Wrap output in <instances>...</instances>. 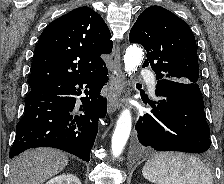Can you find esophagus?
<instances>
[{"label":"esophagus","mask_w":224,"mask_h":184,"mask_svg":"<svg viewBox=\"0 0 224 184\" xmlns=\"http://www.w3.org/2000/svg\"><path fill=\"white\" fill-rule=\"evenodd\" d=\"M124 90V76L121 65L120 46L114 51L113 69L110 77V93L108 96V112L113 113L121 106L119 97Z\"/></svg>","instance_id":"esophagus-1"}]
</instances>
